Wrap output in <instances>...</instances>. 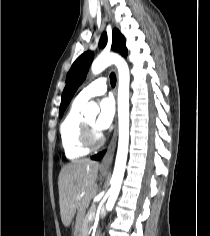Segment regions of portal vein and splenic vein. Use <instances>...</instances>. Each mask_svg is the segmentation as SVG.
I'll return each mask as SVG.
<instances>
[{"mask_svg":"<svg viewBox=\"0 0 210 236\" xmlns=\"http://www.w3.org/2000/svg\"><path fill=\"white\" fill-rule=\"evenodd\" d=\"M82 197V195H80V196H77V199H80ZM95 217V213H91L90 215H89V219H93Z\"/></svg>","mask_w":210,"mask_h":236,"instance_id":"1","label":"portal vein and splenic vein"}]
</instances>
